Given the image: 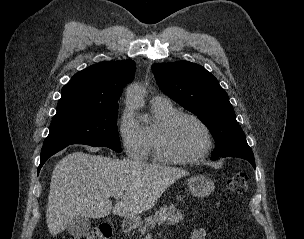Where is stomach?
Instances as JSON below:
<instances>
[{"label": "stomach", "mask_w": 304, "mask_h": 239, "mask_svg": "<svg viewBox=\"0 0 304 239\" xmlns=\"http://www.w3.org/2000/svg\"><path fill=\"white\" fill-rule=\"evenodd\" d=\"M187 186L192 193V195L196 197H205L211 194V192L214 190V183L213 181L203 175H196L192 176L188 179ZM139 219L134 220V226H138L140 224Z\"/></svg>", "instance_id": "1"}]
</instances>
